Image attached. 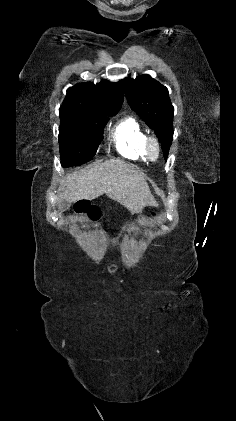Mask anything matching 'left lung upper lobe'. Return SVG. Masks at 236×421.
Listing matches in <instances>:
<instances>
[{
  "instance_id": "5c2ea615",
  "label": "left lung upper lobe",
  "mask_w": 236,
  "mask_h": 421,
  "mask_svg": "<svg viewBox=\"0 0 236 421\" xmlns=\"http://www.w3.org/2000/svg\"><path fill=\"white\" fill-rule=\"evenodd\" d=\"M122 86L132 110L155 131L166 159L173 140L174 115L167 88L149 75L125 78Z\"/></svg>"
}]
</instances>
